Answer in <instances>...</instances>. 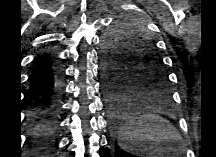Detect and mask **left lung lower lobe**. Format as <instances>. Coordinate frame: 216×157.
Returning a JSON list of instances; mask_svg holds the SVG:
<instances>
[{"label":"left lung lower lobe","mask_w":216,"mask_h":157,"mask_svg":"<svg viewBox=\"0 0 216 157\" xmlns=\"http://www.w3.org/2000/svg\"><path fill=\"white\" fill-rule=\"evenodd\" d=\"M121 78V76L115 77L113 74L107 72V103L110 115L114 122V126L116 128L122 126L120 130H122L127 124L125 122L128 111L124 108L128 105L129 101L135 96Z\"/></svg>","instance_id":"left-lung-lower-lobe-1"}]
</instances>
